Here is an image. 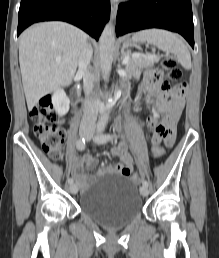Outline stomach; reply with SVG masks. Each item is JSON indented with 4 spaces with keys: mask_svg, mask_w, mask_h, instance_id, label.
Returning <instances> with one entry per match:
<instances>
[{
    "mask_svg": "<svg viewBox=\"0 0 219 258\" xmlns=\"http://www.w3.org/2000/svg\"><path fill=\"white\" fill-rule=\"evenodd\" d=\"M131 45H132V44H131L130 41H126V42L124 43L125 48H128V47L131 46ZM126 53H127V54H130V51L127 49Z\"/></svg>",
    "mask_w": 219,
    "mask_h": 258,
    "instance_id": "1",
    "label": "stomach"
}]
</instances>
